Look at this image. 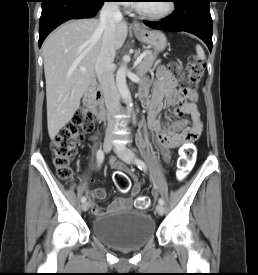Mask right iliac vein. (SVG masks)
Returning a JSON list of instances; mask_svg holds the SVG:
<instances>
[{
    "label": "right iliac vein",
    "instance_id": "63e3f726",
    "mask_svg": "<svg viewBox=\"0 0 258 275\" xmlns=\"http://www.w3.org/2000/svg\"><path fill=\"white\" fill-rule=\"evenodd\" d=\"M112 148V142L110 139H106L103 143V149L105 151V153H109L110 150ZM90 207V203L87 201V202H83L82 204V210L83 211H87Z\"/></svg>",
    "mask_w": 258,
    "mask_h": 275
}]
</instances>
